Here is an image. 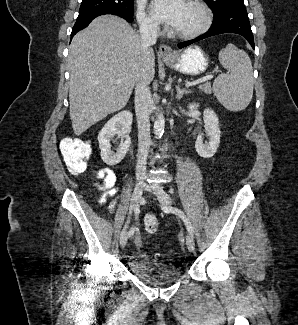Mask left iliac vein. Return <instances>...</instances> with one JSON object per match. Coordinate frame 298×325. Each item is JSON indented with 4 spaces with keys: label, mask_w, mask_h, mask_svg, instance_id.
<instances>
[{
    "label": "left iliac vein",
    "mask_w": 298,
    "mask_h": 325,
    "mask_svg": "<svg viewBox=\"0 0 298 325\" xmlns=\"http://www.w3.org/2000/svg\"><path fill=\"white\" fill-rule=\"evenodd\" d=\"M148 191L154 193L162 206H171L172 200L170 196L164 191V189L158 183H152L146 187ZM186 245L190 252L195 249V241L192 234L189 232L186 235Z\"/></svg>",
    "instance_id": "left-iliac-vein-1"
}]
</instances>
